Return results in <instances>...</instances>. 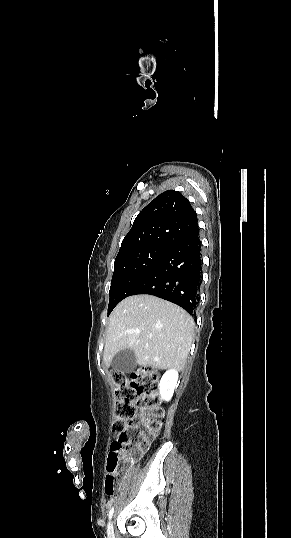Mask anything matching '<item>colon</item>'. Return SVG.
<instances>
[{
    "instance_id": "1",
    "label": "colon",
    "mask_w": 291,
    "mask_h": 538,
    "mask_svg": "<svg viewBox=\"0 0 291 538\" xmlns=\"http://www.w3.org/2000/svg\"><path fill=\"white\" fill-rule=\"evenodd\" d=\"M114 381V441L107 457L105 477L108 494L118 489L128 464L155 439L165 414L154 369L140 368L130 375L115 372Z\"/></svg>"
}]
</instances>
